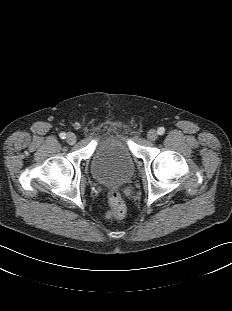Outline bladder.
<instances>
[{
    "mask_svg": "<svg viewBox=\"0 0 232 311\" xmlns=\"http://www.w3.org/2000/svg\"><path fill=\"white\" fill-rule=\"evenodd\" d=\"M91 171L100 183L120 185L127 182L134 172V161L125 140L108 134L97 141L92 156Z\"/></svg>",
    "mask_w": 232,
    "mask_h": 311,
    "instance_id": "obj_1",
    "label": "bladder"
}]
</instances>
